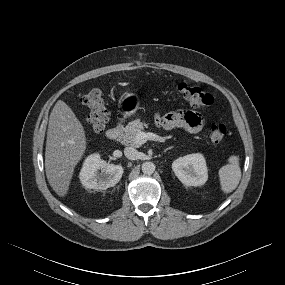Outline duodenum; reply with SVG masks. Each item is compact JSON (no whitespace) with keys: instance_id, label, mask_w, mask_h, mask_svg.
<instances>
[{"instance_id":"410a0bca","label":"duodenum","mask_w":285,"mask_h":285,"mask_svg":"<svg viewBox=\"0 0 285 285\" xmlns=\"http://www.w3.org/2000/svg\"><path fill=\"white\" fill-rule=\"evenodd\" d=\"M122 132V123H117L115 126L106 131V137L110 140H116L120 137Z\"/></svg>"}]
</instances>
